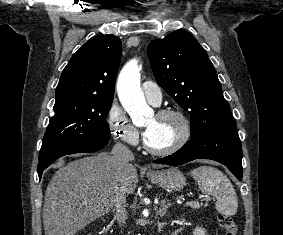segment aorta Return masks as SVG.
I'll return each instance as SVG.
<instances>
[{
  "instance_id": "obj_1",
  "label": "aorta",
  "mask_w": 283,
  "mask_h": 235,
  "mask_svg": "<svg viewBox=\"0 0 283 235\" xmlns=\"http://www.w3.org/2000/svg\"><path fill=\"white\" fill-rule=\"evenodd\" d=\"M140 70L138 60L133 59L123 67L117 81L120 102L134 124L144 122L152 114L140 88Z\"/></svg>"
}]
</instances>
